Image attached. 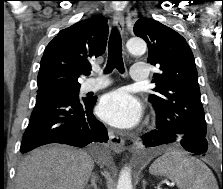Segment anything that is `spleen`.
I'll return each mask as SVG.
<instances>
[{"mask_svg": "<svg viewBox=\"0 0 223 189\" xmlns=\"http://www.w3.org/2000/svg\"><path fill=\"white\" fill-rule=\"evenodd\" d=\"M149 171L167 177L179 189H219L212 171L203 162L178 150L156 159Z\"/></svg>", "mask_w": 223, "mask_h": 189, "instance_id": "3e777b00", "label": "spleen"}]
</instances>
